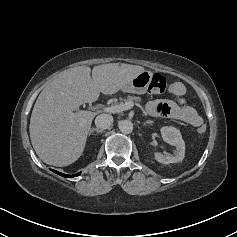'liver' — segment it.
Returning <instances> with one entry per match:
<instances>
[{"instance_id": "liver-1", "label": "liver", "mask_w": 237, "mask_h": 237, "mask_svg": "<svg viewBox=\"0 0 237 237\" xmlns=\"http://www.w3.org/2000/svg\"><path fill=\"white\" fill-rule=\"evenodd\" d=\"M144 71L142 66L109 63L78 66L46 83L30 118V139L39 158L53 166H67L82 155L95 113L79 110L98 100L100 92L112 95ZM76 111V112H75Z\"/></svg>"}]
</instances>
